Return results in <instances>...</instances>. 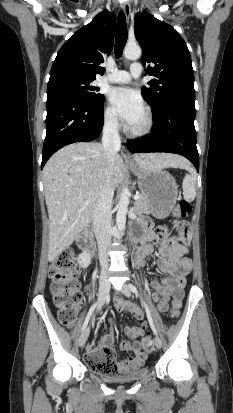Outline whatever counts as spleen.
<instances>
[{
	"label": "spleen",
	"mask_w": 233,
	"mask_h": 413,
	"mask_svg": "<svg viewBox=\"0 0 233 413\" xmlns=\"http://www.w3.org/2000/svg\"><path fill=\"white\" fill-rule=\"evenodd\" d=\"M195 176L193 174H186L183 180V196L186 201H193L196 197L195 190Z\"/></svg>",
	"instance_id": "obj_1"
}]
</instances>
